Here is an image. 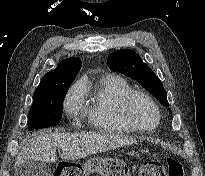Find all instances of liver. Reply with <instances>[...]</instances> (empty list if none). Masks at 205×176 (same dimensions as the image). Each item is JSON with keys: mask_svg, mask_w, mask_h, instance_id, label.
Listing matches in <instances>:
<instances>
[{"mask_svg": "<svg viewBox=\"0 0 205 176\" xmlns=\"http://www.w3.org/2000/svg\"><path fill=\"white\" fill-rule=\"evenodd\" d=\"M132 143L134 139L106 133H40L21 149L15 169L28 161L54 163L57 148L62 159L75 160Z\"/></svg>", "mask_w": 205, "mask_h": 176, "instance_id": "liver-1", "label": "liver"}]
</instances>
